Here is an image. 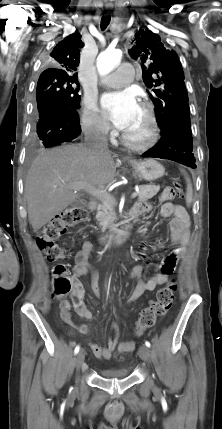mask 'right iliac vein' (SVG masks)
Segmentation results:
<instances>
[{"label": "right iliac vein", "instance_id": "1", "mask_svg": "<svg viewBox=\"0 0 222 429\" xmlns=\"http://www.w3.org/2000/svg\"><path fill=\"white\" fill-rule=\"evenodd\" d=\"M84 359H85V352L81 350L75 358V364H76L77 370H79L81 365L84 363Z\"/></svg>", "mask_w": 222, "mask_h": 429}]
</instances>
